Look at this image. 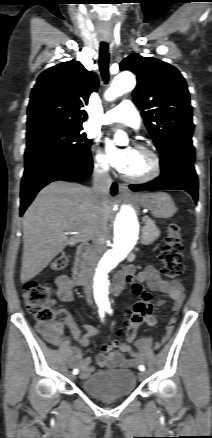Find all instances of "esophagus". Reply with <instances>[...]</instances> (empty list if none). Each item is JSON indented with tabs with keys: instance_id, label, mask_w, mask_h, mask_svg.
I'll return each mask as SVG.
<instances>
[{
	"instance_id": "esophagus-1",
	"label": "esophagus",
	"mask_w": 212,
	"mask_h": 438,
	"mask_svg": "<svg viewBox=\"0 0 212 438\" xmlns=\"http://www.w3.org/2000/svg\"><path fill=\"white\" fill-rule=\"evenodd\" d=\"M118 189H119V193L122 195H131V192L129 191L128 186L126 184L123 183L119 184Z\"/></svg>"
}]
</instances>
